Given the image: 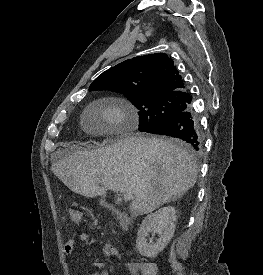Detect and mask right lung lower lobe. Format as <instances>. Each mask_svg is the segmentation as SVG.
Instances as JSON below:
<instances>
[{
    "label": "right lung lower lobe",
    "instance_id": "1",
    "mask_svg": "<svg viewBox=\"0 0 263 275\" xmlns=\"http://www.w3.org/2000/svg\"><path fill=\"white\" fill-rule=\"evenodd\" d=\"M148 133L179 138L195 150L202 147L199 120L192 108L175 115Z\"/></svg>",
    "mask_w": 263,
    "mask_h": 275
}]
</instances>
